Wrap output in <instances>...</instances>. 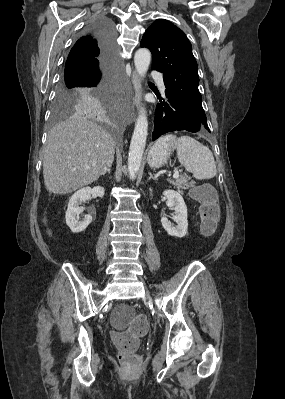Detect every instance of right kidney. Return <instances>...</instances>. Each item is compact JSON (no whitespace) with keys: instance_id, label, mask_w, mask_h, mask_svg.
<instances>
[{"instance_id":"obj_1","label":"right kidney","mask_w":285,"mask_h":399,"mask_svg":"<svg viewBox=\"0 0 285 399\" xmlns=\"http://www.w3.org/2000/svg\"><path fill=\"white\" fill-rule=\"evenodd\" d=\"M105 190L101 186H96L94 188L85 187L77 192H75L68 203L66 210V224L71 229L73 233H80L84 231L87 226L92 222L91 215H85L83 220H79V213L81 212L80 205L91 198V195H96L100 198L104 196Z\"/></svg>"}]
</instances>
